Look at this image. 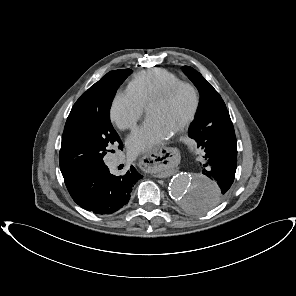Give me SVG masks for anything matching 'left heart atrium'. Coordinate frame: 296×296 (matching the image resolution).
<instances>
[{
    "mask_svg": "<svg viewBox=\"0 0 296 296\" xmlns=\"http://www.w3.org/2000/svg\"><path fill=\"white\" fill-rule=\"evenodd\" d=\"M173 131L154 117H148L127 139L129 151L138 155L168 140Z\"/></svg>",
    "mask_w": 296,
    "mask_h": 296,
    "instance_id": "1",
    "label": "left heart atrium"
}]
</instances>
